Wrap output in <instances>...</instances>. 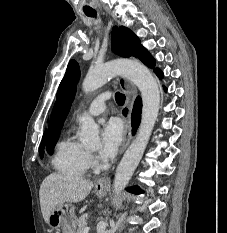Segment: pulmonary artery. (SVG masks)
I'll use <instances>...</instances> for the list:
<instances>
[{"mask_svg":"<svg viewBox=\"0 0 227 233\" xmlns=\"http://www.w3.org/2000/svg\"><path fill=\"white\" fill-rule=\"evenodd\" d=\"M110 98L108 92L98 95L89 105L88 114L91 116H98L106 110V101Z\"/></svg>","mask_w":227,"mask_h":233,"instance_id":"1","label":"pulmonary artery"}]
</instances>
